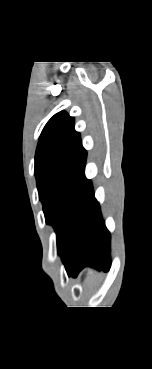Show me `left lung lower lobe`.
I'll use <instances>...</instances> for the list:
<instances>
[{
	"label": "left lung lower lobe",
	"mask_w": 152,
	"mask_h": 369,
	"mask_svg": "<svg viewBox=\"0 0 152 369\" xmlns=\"http://www.w3.org/2000/svg\"><path fill=\"white\" fill-rule=\"evenodd\" d=\"M68 275L77 276L85 266L108 271L110 233L101 217L92 183L85 181L72 209L59 251Z\"/></svg>",
	"instance_id": "obj_1"
}]
</instances>
